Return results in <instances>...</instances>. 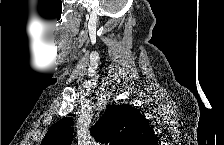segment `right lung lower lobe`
<instances>
[{
	"label": "right lung lower lobe",
	"instance_id": "1",
	"mask_svg": "<svg viewBox=\"0 0 224 145\" xmlns=\"http://www.w3.org/2000/svg\"><path fill=\"white\" fill-rule=\"evenodd\" d=\"M157 144V142H156V140H155V138L150 142V145H156Z\"/></svg>",
	"mask_w": 224,
	"mask_h": 145
}]
</instances>
